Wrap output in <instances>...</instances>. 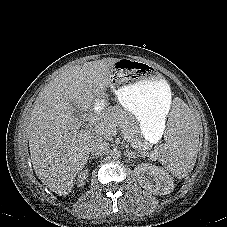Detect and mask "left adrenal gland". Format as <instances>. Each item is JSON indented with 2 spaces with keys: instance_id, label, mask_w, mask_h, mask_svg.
Listing matches in <instances>:
<instances>
[{
  "instance_id": "a2214340",
  "label": "left adrenal gland",
  "mask_w": 227,
  "mask_h": 227,
  "mask_svg": "<svg viewBox=\"0 0 227 227\" xmlns=\"http://www.w3.org/2000/svg\"><path fill=\"white\" fill-rule=\"evenodd\" d=\"M131 155L135 156L138 155L136 152H131Z\"/></svg>"
}]
</instances>
